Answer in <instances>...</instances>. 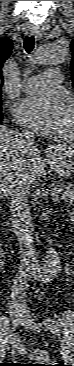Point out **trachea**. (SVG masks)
Masks as SVG:
<instances>
[{"mask_svg":"<svg viewBox=\"0 0 74 366\" xmlns=\"http://www.w3.org/2000/svg\"><path fill=\"white\" fill-rule=\"evenodd\" d=\"M24 49L26 50V52L28 54H30L32 52V50L34 49L35 46V38L34 36H26L24 38Z\"/></svg>","mask_w":74,"mask_h":366,"instance_id":"trachea-1","label":"trachea"}]
</instances>
